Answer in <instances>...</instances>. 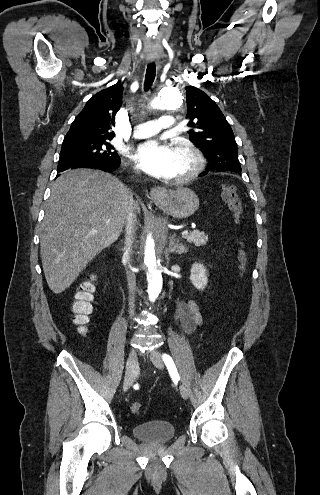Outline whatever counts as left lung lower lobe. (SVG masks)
<instances>
[{
  "label": "left lung lower lobe",
  "mask_w": 320,
  "mask_h": 495,
  "mask_svg": "<svg viewBox=\"0 0 320 495\" xmlns=\"http://www.w3.org/2000/svg\"><path fill=\"white\" fill-rule=\"evenodd\" d=\"M208 171H209V170H208ZM208 171H204V172H202V173L200 174V176H204V175H206V174L208 173ZM212 172H213V171H212Z\"/></svg>",
  "instance_id": "left-lung-lower-lobe-1"
}]
</instances>
